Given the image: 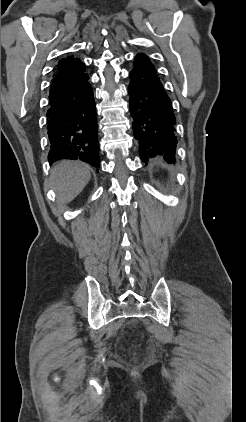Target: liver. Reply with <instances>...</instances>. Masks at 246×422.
I'll use <instances>...</instances> for the list:
<instances>
[{"instance_id": "1", "label": "liver", "mask_w": 246, "mask_h": 422, "mask_svg": "<svg viewBox=\"0 0 246 422\" xmlns=\"http://www.w3.org/2000/svg\"><path fill=\"white\" fill-rule=\"evenodd\" d=\"M91 178L89 165L80 161L58 162L50 173V183L57 193V202L67 204L78 196Z\"/></svg>"}]
</instances>
